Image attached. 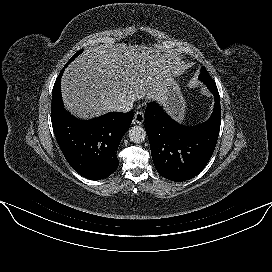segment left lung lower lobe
Returning <instances> with one entry per match:
<instances>
[{
	"mask_svg": "<svg viewBox=\"0 0 272 272\" xmlns=\"http://www.w3.org/2000/svg\"><path fill=\"white\" fill-rule=\"evenodd\" d=\"M204 82V81H203ZM215 98L210 119L195 127L172 120L161 106L149 103L145 110V130L158 173L181 182L198 175L210 160L221 123L220 97L214 81L204 82Z\"/></svg>",
	"mask_w": 272,
	"mask_h": 272,
	"instance_id": "obj_1",
	"label": "left lung lower lobe"
}]
</instances>
